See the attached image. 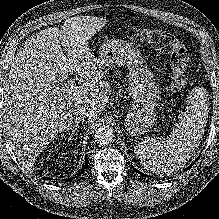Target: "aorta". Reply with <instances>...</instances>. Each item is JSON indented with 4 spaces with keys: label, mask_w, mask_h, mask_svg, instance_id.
<instances>
[{
    "label": "aorta",
    "mask_w": 219,
    "mask_h": 219,
    "mask_svg": "<svg viewBox=\"0 0 219 219\" xmlns=\"http://www.w3.org/2000/svg\"><path fill=\"white\" fill-rule=\"evenodd\" d=\"M114 137V129L110 126L99 127L94 134L96 144L103 146L112 142Z\"/></svg>",
    "instance_id": "obj_1"
}]
</instances>
